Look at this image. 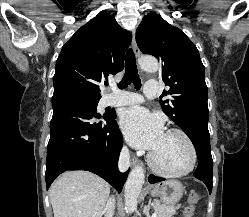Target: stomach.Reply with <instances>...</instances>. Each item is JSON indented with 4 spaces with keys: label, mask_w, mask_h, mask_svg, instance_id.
<instances>
[{
    "label": "stomach",
    "mask_w": 249,
    "mask_h": 217,
    "mask_svg": "<svg viewBox=\"0 0 249 217\" xmlns=\"http://www.w3.org/2000/svg\"><path fill=\"white\" fill-rule=\"evenodd\" d=\"M151 196L158 197L166 205H175L183 196L184 187L178 180H166L149 187Z\"/></svg>",
    "instance_id": "1"
}]
</instances>
